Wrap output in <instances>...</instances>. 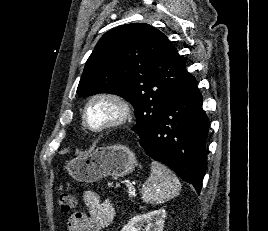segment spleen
Segmentation results:
<instances>
[{
	"label": "spleen",
	"instance_id": "obj_1",
	"mask_svg": "<svg viewBox=\"0 0 268 231\" xmlns=\"http://www.w3.org/2000/svg\"><path fill=\"white\" fill-rule=\"evenodd\" d=\"M181 190L177 176L157 161L151 163V174L142 186V200L150 204H161L176 197Z\"/></svg>",
	"mask_w": 268,
	"mask_h": 231
}]
</instances>
